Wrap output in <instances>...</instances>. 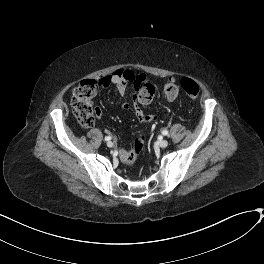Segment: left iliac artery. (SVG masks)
<instances>
[{
    "instance_id": "obj_1",
    "label": "left iliac artery",
    "mask_w": 264,
    "mask_h": 264,
    "mask_svg": "<svg viewBox=\"0 0 264 264\" xmlns=\"http://www.w3.org/2000/svg\"><path fill=\"white\" fill-rule=\"evenodd\" d=\"M162 134L166 136V135L169 134V132H168V130H163V131H162Z\"/></svg>"
}]
</instances>
